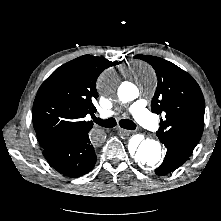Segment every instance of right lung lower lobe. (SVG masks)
Segmentation results:
<instances>
[{
  "label": "right lung lower lobe",
  "instance_id": "obj_1",
  "mask_svg": "<svg viewBox=\"0 0 221 221\" xmlns=\"http://www.w3.org/2000/svg\"><path fill=\"white\" fill-rule=\"evenodd\" d=\"M94 143L89 133L77 135L43 149V155L59 173L79 177L91 171L96 163Z\"/></svg>",
  "mask_w": 221,
  "mask_h": 221
}]
</instances>
